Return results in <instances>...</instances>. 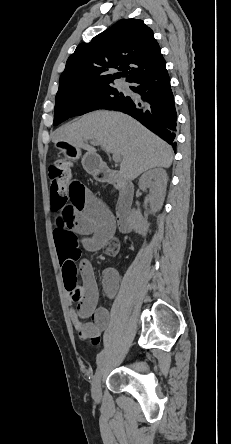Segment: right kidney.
Masks as SVG:
<instances>
[{"label":"right kidney","mask_w":231,"mask_h":444,"mask_svg":"<svg viewBox=\"0 0 231 444\" xmlns=\"http://www.w3.org/2000/svg\"><path fill=\"white\" fill-rule=\"evenodd\" d=\"M167 181V174L161 168L149 170L139 179L138 184L141 190L145 191L146 188L150 189V193L146 199L150 203L153 212H157L162 208L166 194ZM130 219L133 230L138 234L146 235L147 230L149 229V223L141 216L140 212L132 210Z\"/></svg>","instance_id":"obj_1"}]
</instances>
